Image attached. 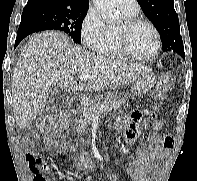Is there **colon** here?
I'll list each match as a JSON object with an SVG mask.
<instances>
[{"mask_svg": "<svg viewBox=\"0 0 197 181\" xmlns=\"http://www.w3.org/2000/svg\"><path fill=\"white\" fill-rule=\"evenodd\" d=\"M172 86L170 74H161L156 85V95L159 101H165ZM68 126V116L57 114L46 116L42 122V131L49 136L62 134Z\"/></svg>", "mask_w": 197, "mask_h": 181, "instance_id": "1", "label": "colon"}]
</instances>
